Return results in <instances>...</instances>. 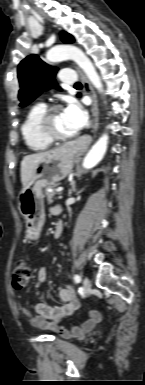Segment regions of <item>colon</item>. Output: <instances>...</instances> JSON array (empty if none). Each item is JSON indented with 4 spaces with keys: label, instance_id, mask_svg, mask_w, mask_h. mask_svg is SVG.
Returning <instances> with one entry per match:
<instances>
[{
    "label": "colon",
    "instance_id": "1",
    "mask_svg": "<svg viewBox=\"0 0 145 385\" xmlns=\"http://www.w3.org/2000/svg\"><path fill=\"white\" fill-rule=\"evenodd\" d=\"M30 277L31 271L26 259L19 260L13 272V286L16 289L25 288L29 283Z\"/></svg>",
    "mask_w": 145,
    "mask_h": 385
}]
</instances>
